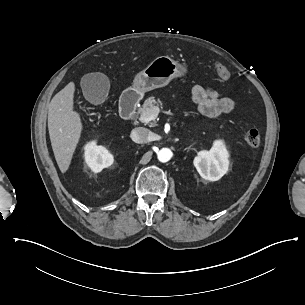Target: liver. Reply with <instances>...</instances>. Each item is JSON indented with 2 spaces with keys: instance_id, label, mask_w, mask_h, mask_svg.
<instances>
[{
  "instance_id": "obj_1",
  "label": "liver",
  "mask_w": 305,
  "mask_h": 305,
  "mask_svg": "<svg viewBox=\"0 0 305 305\" xmlns=\"http://www.w3.org/2000/svg\"><path fill=\"white\" fill-rule=\"evenodd\" d=\"M75 81L69 82L49 104L48 127L56 162L62 174L70 169L84 124L75 108Z\"/></svg>"
}]
</instances>
